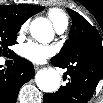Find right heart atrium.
Here are the masks:
<instances>
[{
    "mask_svg": "<svg viewBox=\"0 0 103 103\" xmlns=\"http://www.w3.org/2000/svg\"><path fill=\"white\" fill-rule=\"evenodd\" d=\"M25 29V26H22L21 31H23Z\"/></svg>",
    "mask_w": 103,
    "mask_h": 103,
    "instance_id": "obj_1",
    "label": "right heart atrium"
}]
</instances>
